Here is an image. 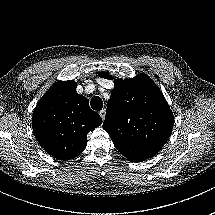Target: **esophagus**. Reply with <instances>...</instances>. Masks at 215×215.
I'll use <instances>...</instances> for the list:
<instances>
[{
	"label": "esophagus",
	"instance_id": "1",
	"mask_svg": "<svg viewBox=\"0 0 215 215\" xmlns=\"http://www.w3.org/2000/svg\"><path fill=\"white\" fill-rule=\"evenodd\" d=\"M99 115L100 117L102 118V120L105 119V116H106V109H102L100 112H99Z\"/></svg>",
	"mask_w": 215,
	"mask_h": 215
}]
</instances>
